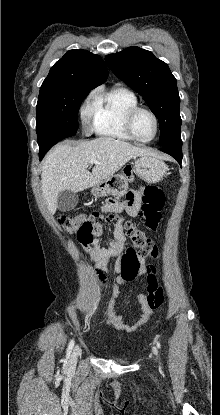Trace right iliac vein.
<instances>
[{
  "label": "right iliac vein",
  "instance_id": "1",
  "mask_svg": "<svg viewBox=\"0 0 220 415\" xmlns=\"http://www.w3.org/2000/svg\"><path fill=\"white\" fill-rule=\"evenodd\" d=\"M81 350L79 348V346H75V348L73 349V352L70 356V362L73 364L76 362L78 356L80 355Z\"/></svg>",
  "mask_w": 220,
  "mask_h": 415
}]
</instances>
